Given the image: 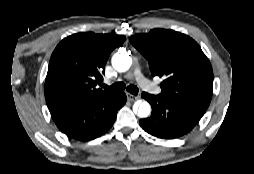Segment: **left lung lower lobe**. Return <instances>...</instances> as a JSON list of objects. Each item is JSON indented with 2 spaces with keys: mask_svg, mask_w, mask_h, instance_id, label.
Returning <instances> with one entry per match:
<instances>
[{
  "mask_svg": "<svg viewBox=\"0 0 254 174\" xmlns=\"http://www.w3.org/2000/svg\"><path fill=\"white\" fill-rule=\"evenodd\" d=\"M142 97L151 104L152 114L149 118L140 120V124L146 132L159 138L174 139L183 136L193 129L205 113L145 92Z\"/></svg>",
  "mask_w": 254,
  "mask_h": 174,
  "instance_id": "0a47b994",
  "label": "left lung lower lobe"
}]
</instances>
